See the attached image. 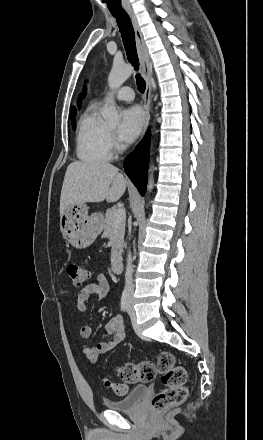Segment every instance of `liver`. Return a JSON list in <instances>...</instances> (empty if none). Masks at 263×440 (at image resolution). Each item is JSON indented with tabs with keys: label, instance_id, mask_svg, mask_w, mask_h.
<instances>
[{
	"label": "liver",
	"instance_id": "liver-1",
	"mask_svg": "<svg viewBox=\"0 0 263 440\" xmlns=\"http://www.w3.org/2000/svg\"><path fill=\"white\" fill-rule=\"evenodd\" d=\"M127 181L114 165L107 162L75 161L68 165L60 196V216L70 205L87 202L109 203L119 200Z\"/></svg>",
	"mask_w": 263,
	"mask_h": 440
}]
</instances>
